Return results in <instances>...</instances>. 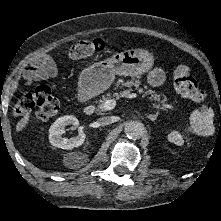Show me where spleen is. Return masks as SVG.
I'll use <instances>...</instances> for the list:
<instances>
[{"label":"spleen","mask_w":221,"mask_h":221,"mask_svg":"<svg viewBox=\"0 0 221 221\" xmlns=\"http://www.w3.org/2000/svg\"><path fill=\"white\" fill-rule=\"evenodd\" d=\"M213 109H204L203 111L194 110L190 117V126L185 129L187 133H194L200 136H210L215 132L213 125Z\"/></svg>","instance_id":"obj_1"}]
</instances>
